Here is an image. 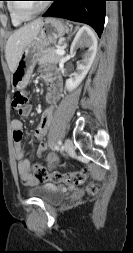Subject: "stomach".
<instances>
[{
	"label": "stomach",
	"mask_w": 133,
	"mask_h": 253,
	"mask_svg": "<svg viewBox=\"0 0 133 253\" xmlns=\"http://www.w3.org/2000/svg\"><path fill=\"white\" fill-rule=\"evenodd\" d=\"M66 32V27L59 20L55 18L42 20L37 37L23 50L12 72L13 88L24 89L28 85L41 51L60 41Z\"/></svg>",
	"instance_id": "stomach-1"
}]
</instances>
